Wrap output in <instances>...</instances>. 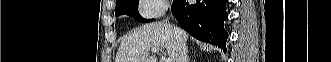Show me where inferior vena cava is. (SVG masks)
<instances>
[{
  "label": "inferior vena cava",
  "mask_w": 331,
  "mask_h": 62,
  "mask_svg": "<svg viewBox=\"0 0 331 62\" xmlns=\"http://www.w3.org/2000/svg\"><path fill=\"white\" fill-rule=\"evenodd\" d=\"M176 62H187V47L182 39H177Z\"/></svg>",
  "instance_id": "inferior-vena-cava-1"
}]
</instances>
